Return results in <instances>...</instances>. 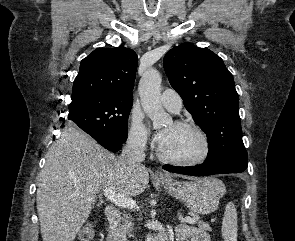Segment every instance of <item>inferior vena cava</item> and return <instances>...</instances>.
<instances>
[{
    "label": "inferior vena cava",
    "mask_w": 295,
    "mask_h": 241,
    "mask_svg": "<svg viewBox=\"0 0 295 241\" xmlns=\"http://www.w3.org/2000/svg\"><path fill=\"white\" fill-rule=\"evenodd\" d=\"M145 142L137 137H131L122 151L121 158L129 167L139 168L145 159Z\"/></svg>",
    "instance_id": "inferior-vena-cava-1"
}]
</instances>
